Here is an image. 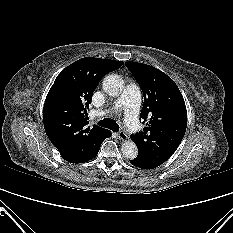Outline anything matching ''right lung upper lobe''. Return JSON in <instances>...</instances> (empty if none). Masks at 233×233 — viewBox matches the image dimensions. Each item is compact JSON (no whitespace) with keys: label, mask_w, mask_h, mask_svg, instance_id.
<instances>
[{"label":"right lung upper lobe","mask_w":233,"mask_h":233,"mask_svg":"<svg viewBox=\"0 0 233 233\" xmlns=\"http://www.w3.org/2000/svg\"><path fill=\"white\" fill-rule=\"evenodd\" d=\"M122 61L86 57L67 66L50 88L44 108L45 132L63 159L83 163L106 138L108 131L87 126V110L100 80Z\"/></svg>","instance_id":"1"}]
</instances>
